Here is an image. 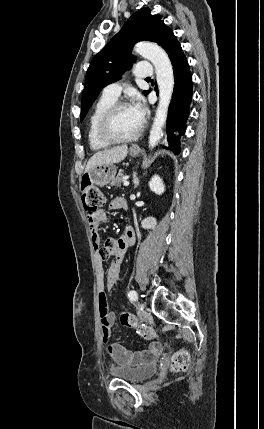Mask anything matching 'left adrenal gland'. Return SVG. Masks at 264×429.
<instances>
[{
	"label": "left adrenal gland",
	"instance_id": "1",
	"mask_svg": "<svg viewBox=\"0 0 264 429\" xmlns=\"http://www.w3.org/2000/svg\"><path fill=\"white\" fill-rule=\"evenodd\" d=\"M133 184H134V188H136L139 185V178L137 177L136 173L133 174Z\"/></svg>",
	"mask_w": 264,
	"mask_h": 429
}]
</instances>
